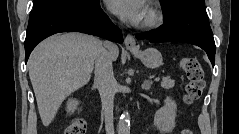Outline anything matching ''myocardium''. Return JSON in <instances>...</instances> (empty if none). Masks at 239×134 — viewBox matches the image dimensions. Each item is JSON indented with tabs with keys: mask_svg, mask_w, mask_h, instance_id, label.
I'll use <instances>...</instances> for the list:
<instances>
[{
	"mask_svg": "<svg viewBox=\"0 0 239 134\" xmlns=\"http://www.w3.org/2000/svg\"><path fill=\"white\" fill-rule=\"evenodd\" d=\"M163 15L162 13L154 8L149 7L147 11V16L142 23V27L151 28L159 25L162 22Z\"/></svg>",
	"mask_w": 239,
	"mask_h": 134,
	"instance_id": "obj_1",
	"label": "myocardium"
}]
</instances>
